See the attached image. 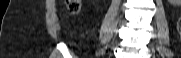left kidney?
<instances>
[{
    "label": "left kidney",
    "mask_w": 181,
    "mask_h": 58,
    "mask_svg": "<svg viewBox=\"0 0 181 58\" xmlns=\"http://www.w3.org/2000/svg\"><path fill=\"white\" fill-rule=\"evenodd\" d=\"M168 2H170V4H172L173 6L181 5V0H168Z\"/></svg>",
    "instance_id": "5707ae66"
}]
</instances>
